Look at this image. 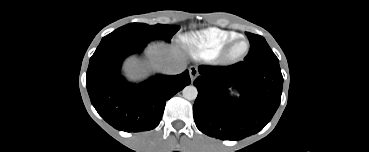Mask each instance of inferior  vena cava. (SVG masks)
<instances>
[{"label": "inferior vena cava", "instance_id": "obj_1", "mask_svg": "<svg viewBox=\"0 0 369 152\" xmlns=\"http://www.w3.org/2000/svg\"><path fill=\"white\" fill-rule=\"evenodd\" d=\"M185 68L186 64H174V63H167L163 67L164 71L168 74L181 73Z\"/></svg>", "mask_w": 369, "mask_h": 152}]
</instances>
